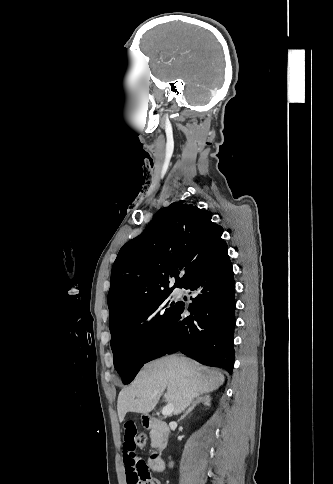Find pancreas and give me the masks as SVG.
<instances>
[{
    "mask_svg": "<svg viewBox=\"0 0 333 484\" xmlns=\"http://www.w3.org/2000/svg\"><path fill=\"white\" fill-rule=\"evenodd\" d=\"M151 446L156 447L162 444L164 441V435L162 431L153 429L150 431Z\"/></svg>",
    "mask_w": 333,
    "mask_h": 484,
    "instance_id": "1",
    "label": "pancreas"
}]
</instances>
